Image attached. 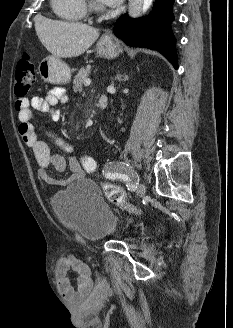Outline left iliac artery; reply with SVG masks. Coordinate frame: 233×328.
<instances>
[{
	"instance_id": "left-iliac-artery-1",
	"label": "left iliac artery",
	"mask_w": 233,
	"mask_h": 328,
	"mask_svg": "<svg viewBox=\"0 0 233 328\" xmlns=\"http://www.w3.org/2000/svg\"><path fill=\"white\" fill-rule=\"evenodd\" d=\"M106 177L110 178V179H121V180H123L126 183V186L128 187V189H130V190H134V188H135V185L130 182L131 180H130L129 176L126 175V174L111 173L110 172V173L106 174Z\"/></svg>"
}]
</instances>
